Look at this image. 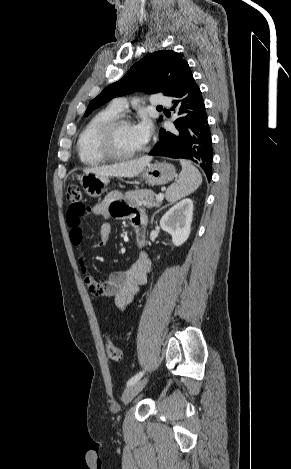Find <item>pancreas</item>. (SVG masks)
Returning <instances> with one entry per match:
<instances>
[{"label": "pancreas", "instance_id": "pancreas-1", "mask_svg": "<svg viewBox=\"0 0 291 469\" xmlns=\"http://www.w3.org/2000/svg\"><path fill=\"white\" fill-rule=\"evenodd\" d=\"M156 194L152 190L140 189L125 193V200L132 206L159 207L161 201H155Z\"/></svg>", "mask_w": 291, "mask_h": 469}]
</instances>
